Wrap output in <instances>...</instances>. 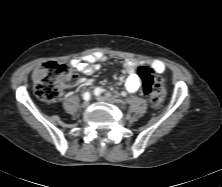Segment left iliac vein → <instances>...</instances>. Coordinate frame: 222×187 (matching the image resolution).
Wrapping results in <instances>:
<instances>
[{
	"instance_id": "4c4485c4",
	"label": "left iliac vein",
	"mask_w": 222,
	"mask_h": 187,
	"mask_svg": "<svg viewBox=\"0 0 222 187\" xmlns=\"http://www.w3.org/2000/svg\"><path fill=\"white\" fill-rule=\"evenodd\" d=\"M96 99L98 101H112L111 99L104 97V96H97Z\"/></svg>"
}]
</instances>
